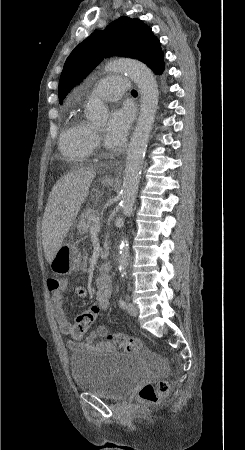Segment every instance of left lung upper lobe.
Wrapping results in <instances>:
<instances>
[{
    "label": "left lung upper lobe",
    "mask_w": 245,
    "mask_h": 450,
    "mask_svg": "<svg viewBox=\"0 0 245 450\" xmlns=\"http://www.w3.org/2000/svg\"><path fill=\"white\" fill-rule=\"evenodd\" d=\"M119 55L142 61L152 70L163 63L160 42L139 19L120 17L103 31H95L68 56L59 81V101L105 57Z\"/></svg>",
    "instance_id": "5c2ea615"
}]
</instances>
